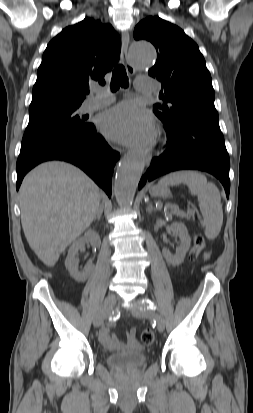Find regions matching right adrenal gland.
Wrapping results in <instances>:
<instances>
[{
  "instance_id": "1",
  "label": "right adrenal gland",
  "mask_w": 253,
  "mask_h": 413,
  "mask_svg": "<svg viewBox=\"0 0 253 413\" xmlns=\"http://www.w3.org/2000/svg\"><path fill=\"white\" fill-rule=\"evenodd\" d=\"M102 213H103V205H100L99 206V209H98V211H97V214H96V216H95V218H94V221L95 220H101V216H102Z\"/></svg>"
}]
</instances>
